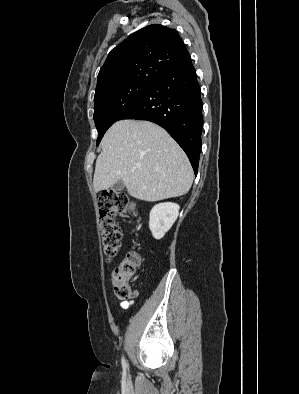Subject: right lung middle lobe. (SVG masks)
Instances as JSON below:
<instances>
[{
    "label": "right lung middle lobe",
    "instance_id": "right-lung-middle-lobe-1",
    "mask_svg": "<svg viewBox=\"0 0 299 394\" xmlns=\"http://www.w3.org/2000/svg\"><path fill=\"white\" fill-rule=\"evenodd\" d=\"M151 83L131 82L106 90L94 97L95 126L98 131L97 145L106 130L140 98Z\"/></svg>",
    "mask_w": 299,
    "mask_h": 394
}]
</instances>
